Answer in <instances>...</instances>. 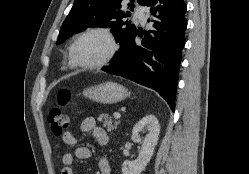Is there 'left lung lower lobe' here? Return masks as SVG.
Returning a JSON list of instances; mask_svg holds the SVG:
<instances>
[{"label":"left lung lower lobe","mask_w":249,"mask_h":174,"mask_svg":"<svg viewBox=\"0 0 249 174\" xmlns=\"http://www.w3.org/2000/svg\"><path fill=\"white\" fill-rule=\"evenodd\" d=\"M153 29L145 32L142 45L135 43L139 31L102 70L156 90L174 111L175 91L185 45L186 5L183 0H149Z\"/></svg>","instance_id":"obj_1"}]
</instances>
